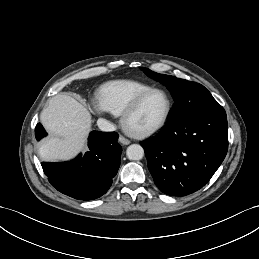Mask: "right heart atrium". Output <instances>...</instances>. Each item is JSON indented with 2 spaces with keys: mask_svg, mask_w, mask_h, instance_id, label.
Segmentation results:
<instances>
[{
  "mask_svg": "<svg viewBox=\"0 0 259 259\" xmlns=\"http://www.w3.org/2000/svg\"><path fill=\"white\" fill-rule=\"evenodd\" d=\"M92 106L97 114L104 115L106 113V109L103 107L99 100L93 101Z\"/></svg>",
  "mask_w": 259,
  "mask_h": 259,
  "instance_id": "obj_1",
  "label": "right heart atrium"
}]
</instances>
